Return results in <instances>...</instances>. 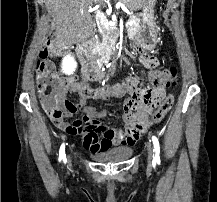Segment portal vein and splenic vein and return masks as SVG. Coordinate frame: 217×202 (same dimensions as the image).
Segmentation results:
<instances>
[{
	"instance_id": "1",
	"label": "portal vein and splenic vein",
	"mask_w": 217,
	"mask_h": 202,
	"mask_svg": "<svg viewBox=\"0 0 217 202\" xmlns=\"http://www.w3.org/2000/svg\"><path fill=\"white\" fill-rule=\"evenodd\" d=\"M95 2H97V0H95ZM126 14H130V12H126ZM133 24H135V22H132V20H128L126 26H133ZM109 26H115V22H109Z\"/></svg>"
}]
</instances>
